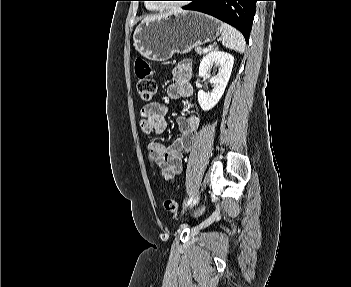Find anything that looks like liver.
I'll return each mask as SVG.
<instances>
[{
	"instance_id": "1",
	"label": "liver",
	"mask_w": 351,
	"mask_h": 287,
	"mask_svg": "<svg viewBox=\"0 0 351 287\" xmlns=\"http://www.w3.org/2000/svg\"><path fill=\"white\" fill-rule=\"evenodd\" d=\"M182 12H183L182 10H177L174 13H182ZM170 14H172V13L150 16V17L145 18L144 21H149V20L165 17V16L170 15Z\"/></svg>"
}]
</instances>
